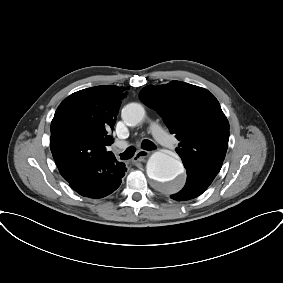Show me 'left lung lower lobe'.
Here are the masks:
<instances>
[{
    "instance_id": "left-lung-lower-lobe-1",
    "label": "left lung lower lobe",
    "mask_w": 283,
    "mask_h": 283,
    "mask_svg": "<svg viewBox=\"0 0 283 283\" xmlns=\"http://www.w3.org/2000/svg\"><path fill=\"white\" fill-rule=\"evenodd\" d=\"M213 179L187 172V181L184 188L171 198L178 201L190 200L201 195L212 183Z\"/></svg>"
}]
</instances>
